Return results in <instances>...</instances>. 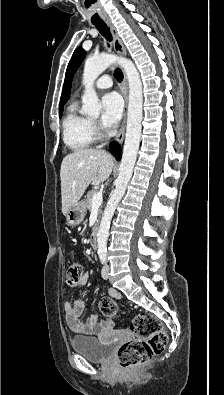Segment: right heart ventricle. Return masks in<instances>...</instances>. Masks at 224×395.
Wrapping results in <instances>:
<instances>
[{
	"instance_id": "e07e8e85",
	"label": "right heart ventricle",
	"mask_w": 224,
	"mask_h": 395,
	"mask_svg": "<svg viewBox=\"0 0 224 395\" xmlns=\"http://www.w3.org/2000/svg\"><path fill=\"white\" fill-rule=\"evenodd\" d=\"M63 137L65 144L75 151L85 150L94 142L92 122L79 111L75 102L69 106L64 118Z\"/></svg>"
}]
</instances>
